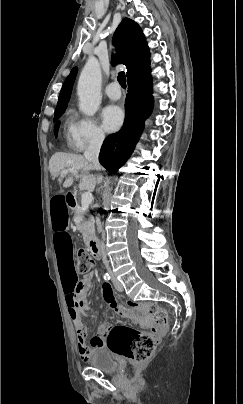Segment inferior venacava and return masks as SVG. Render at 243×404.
I'll list each match as a JSON object with an SVG mask.
<instances>
[{
    "label": "inferior vena cava",
    "instance_id": "602c4592",
    "mask_svg": "<svg viewBox=\"0 0 243 404\" xmlns=\"http://www.w3.org/2000/svg\"><path fill=\"white\" fill-rule=\"evenodd\" d=\"M104 136L103 134H97L95 138H92L91 142H89V148L85 150L84 156L88 162H91L94 170H100L101 166L99 164L98 156L100 152V148L103 144ZM102 180V176H97V182L100 184ZM100 254L102 256V262L103 264H108L107 260V254L105 250V244L104 242H100ZM106 272L110 273L111 272V267L107 265L106 267Z\"/></svg>",
    "mask_w": 243,
    "mask_h": 404
}]
</instances>
